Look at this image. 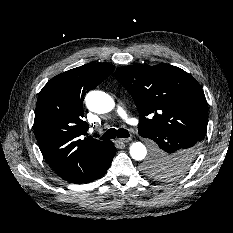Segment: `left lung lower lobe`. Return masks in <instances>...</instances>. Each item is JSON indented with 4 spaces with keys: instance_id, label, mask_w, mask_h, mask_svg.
Here are the masks:
<instances>
[{
    "instance_id": "0a47b994",
    "label": "left lung lower lobe",
    "mask_w": 233,
    "mask_h": 233,
    "mask_svg": "<svg viewBox=\"0 0 233 233\" xmlns=\"http://www.w3.org/2000/svg\"><path fill=\"white\" fill-rule=\"evenodd\" d=\"M144 138L153 140V156H158L175 167L160 174L158 179H172L182 175L198 155L200 143L197 137L183 131L155 130L150 133H141Z\"/></svg>"
}]
</instances>
